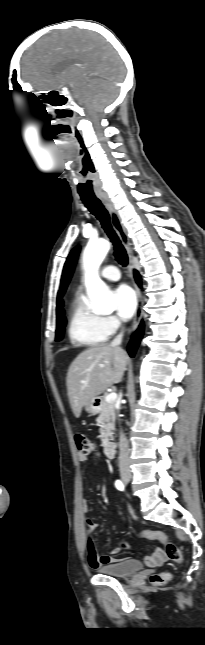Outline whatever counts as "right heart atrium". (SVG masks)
I'll return each mask as SVG.
<instances>
[{
    "mask_svg": "<svg viewBox=\"0 0 205 645\" xmlns=\"http://www.w3.org/2000/svg\"><path fill=\"white\" fill-rule=\"evenodd\" d=\"M105 324L109 333L115 332L120 327L119 320L114 316L105 317Z\"/></svg>",
    "mask_w": 205,
    "mask_h": 645,
    "instance_id": "d8ad5b80",
    "label": "right heart atrium"
}]
</instances>
